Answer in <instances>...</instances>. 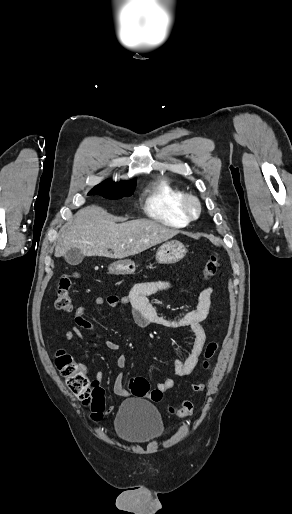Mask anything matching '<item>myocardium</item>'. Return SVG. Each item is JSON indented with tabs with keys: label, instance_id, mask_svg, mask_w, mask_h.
Returning a JSON list of instances; mask_svg holds the SVG:
<instances>
[{
	"label": "myocardium",
	"instance_id": "obj_1",
	"mask_svg": "<svg viewBox=\"0 0 292 514\" xmlns=\"http://www.w3.org/2000/svg\"><path fill=\"white\" fill-rule=\"evenodd\" d=\"M179 211L188 219L194 220L201 213V204L198 198L193 194L185 193L178 201Z\"/></svg>",
	"mask_w": 292,
	"mask_h": 514
}]
</instances>
